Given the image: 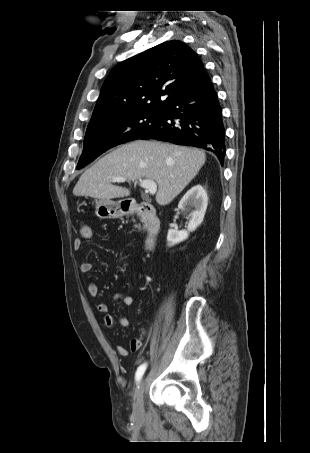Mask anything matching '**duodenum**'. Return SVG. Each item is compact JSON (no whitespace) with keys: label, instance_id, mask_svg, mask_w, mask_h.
<instances>
[{"label":"duodenum","instance_id":"410a0bca","mask_svg":"<svg viewBox=\"0 0 310 453\" xmlns=\"http://www.w3.org/2000/svg\"><path fill=\"white\" fill-rule=\"evenodd\" d=\"M125 214H134L144 223L147 237L146 248H151L160 232V219L155 208L149 203H141L124 209Z\"/></svg>","mask_w":310,"mask_h":453}]
</instances>
